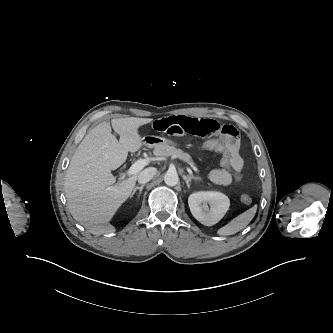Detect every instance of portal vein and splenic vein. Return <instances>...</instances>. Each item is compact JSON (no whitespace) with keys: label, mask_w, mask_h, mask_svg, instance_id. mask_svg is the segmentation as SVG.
<instances>
[{"label":"portal vein and splenic vein","mask_w":333,"mask_h":333,"mask_svg":"<svg viewBox=\"0 0 333 333\" xmlns=\"http://www.w3.org/2000/svg\"><path fill=\"white\" fill-rule=\"evenodd\" d=\"M150 159H140L137 160L136 162H134L131 167L125 172V173H121L120 174V178L122 180L125 179V177L134 175L136 173H138L140 170H142L146 165H148L150 163ZM192 167L195 169V167L192 165Z\"/></svg>","instance_id":"1"}]
</instances>
